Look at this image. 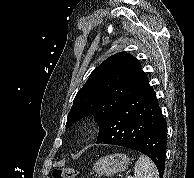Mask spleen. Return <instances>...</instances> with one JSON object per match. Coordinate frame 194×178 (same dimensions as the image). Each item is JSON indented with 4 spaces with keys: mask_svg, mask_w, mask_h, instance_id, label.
<instances>
[{
    "mask_svg": "<svg viewBox=\"0 0 194 178\" xmlns=\"http://www.w3.org/2000/svg\"><path fill=\"white\" fill-rule=\"evenodd\" d=\"M134 178H159L156 166L150 158L145 155H141L137 160L135 167Z\"/></svg>",
    "mask_w": 194,
    "mask_h": 178,
    "instance_id": "3e777b00",
    "label": "spleen"
}]
</instances>
